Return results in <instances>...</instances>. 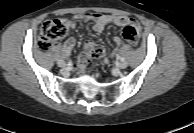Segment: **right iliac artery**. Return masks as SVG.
I'll return each mask as SVG.
<instances>
[{
  "label": "right iliac artery",
  "mask_w": 194,
  "mask_h": 133,
  "mask_svg": "<svg viewBox=\"0 0 194 133\" xmlns=\"http://www.w3.org/2000/svg\"><path fill=\"white\" fill-rule=\"evenodd\" d=\"M68 65H71V62H68Z\"/></svg>",
  "instance_id": "82829eb1"
}]
</instances>
